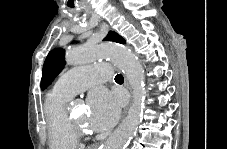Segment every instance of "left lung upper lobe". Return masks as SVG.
<instances>
[{
  "label": "left lung upper lobe",
  "instance_id": "1",
  "mask_svg": "<svg viewBox=\"0 0 227 149\" xmlns=\"http://www.w3.org/2000/svg\"><path fill=\"white\" fill-rule=\"evenodd\" d=\"M103 40L125 43V40L121 36L112 31H110ZM64 64V51L61 48L54 49L48 54L43 65V75L41 79L42 90L51 84L64 67Z\"/></svg>",
  "mask_w": 227,
  "mask_h": 149
}]
</instances>
